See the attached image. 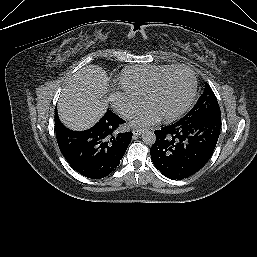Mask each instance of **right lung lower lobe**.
Segmentation results:
<instances>
[{"instance_id": "98d812e1", "label": "right lung lower lobe", "mask_w": 257, "mask_h": 257, "mask_svg": "<svg viewBox=\"0 0 257 257\" xmlns=\"http://www.w3.org/2000/svg\"><path fill=\"white\" fill-rule=\"evenodd\" d=\"M123 123L110 110L85 131L69 130L60 122L55 124L58 146L78 173L92 179L104 178L117 168L131 142L132 132H119Z\"/></svg>"}]
</instances>
